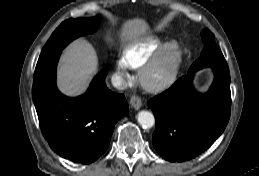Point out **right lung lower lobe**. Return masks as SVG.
Masks as SVG:
<instances>
[{"label":"right lung lower lobe","mask_w":259,"mask_h":176,"mask_svg":"<svg viewBox=\"0 0 259 176\" xmlns=\"http://www.w3.org/2000/svg\"><path fill=\"white\" fill-rule=\"evenodd\" d=\"M61 51L39 59L32 97L40 127L50 147L61 157L89 164L108 148L116 122L128 112L123 94L110 91L105 72L97 75L87 92L77 98L56 87V66Z\"/></svg>","instance_id":"right-lung-lower-lobe-1"}]
</instances>
